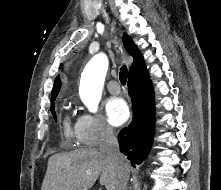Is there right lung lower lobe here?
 Here are the masks:
<instances>
[{
  "label": "right lung lower lobe",
  "instance_id": "obj_1",
  "mask_svg": "<svg viewBox=\"0 0 221 190\" xmlns=\"http://www.w3.org/2000/svg\"><path fill=\"white\" fill-rule=\"evenodd\" d=\"M128 89L133 103V121L118 135L121 152L135 164L147 157L154 134V92L149 74L129 78Z\"/></svg>",
  "mask_w": 221,
  "mask_h": 190
}]
</instances>
